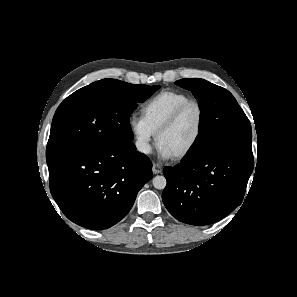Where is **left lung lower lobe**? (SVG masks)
I'll list each match as a JSON object with an SVG mask.
<instances>
[{
	"mask_svg": "<svg viewBox=\"0 0 297 297\" xmlns=\"http://www.w3.org/2000/svg\"><path fill=\"white\" fill-rule=\"evenodd\" d=\"M253 166V159L226 151L184 158L163 170V203L183 223L217 222L241 204Z\"/></svg>",
	"mask_w": 297,
	"mask_h": 297,
	"instance_id": "left-lung-lower-lobe-1",
	"label": "left lung lower lobe"
}]
</instances>
